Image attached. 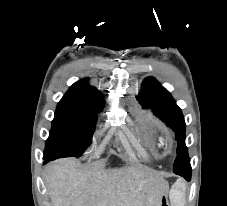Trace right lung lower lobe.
<instances>
[{
  "label": "right lung lower lobe",
  "instance_id": "right-lung-lower-lobe-1",
  "mask_svg": "<svg viewBox=\"0 0 227 206\" xmlns=\"http://www.w3.org/2000/svg\"><path fill=\"white\" fill-rule=\"evenodd\" d=\"M44 159H45V162L44 163H47L50 160H54V159H52V157H47V156H44Z\"/></svg>",
  "mask_w": 227,
  "mask_h": 206
}]
</instances>
